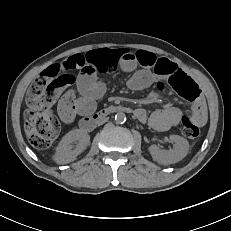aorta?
Instances as JSON below:
<instances>
[{"label":"aorta","mask_w":231,"mask_h":231,"mask_svg":"<svg viewBox=\"0 0 231 231\" xmlns=\"http://www.w3.org/2000/svg\"><path fill=\"white\" fill-rule=\"evenodd\" d=\"M126 121V115L123 112H118L115 115V122L117 124H123Z\"/></svg>","instance_id":"obj_1"}]
</instances>
